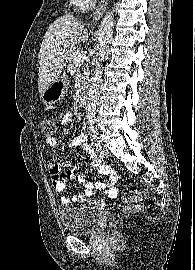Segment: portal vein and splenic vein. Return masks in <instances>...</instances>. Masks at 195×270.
<instances>
[{"instance_id": "obj_1", "label": "portal vein and splenic vein", "mask_w": 195, "mask_h": 270, "mask_svg": "<svg viewBox=\"0 0 195 270\" xmlns=\"http://www.w3.org/2000/svg\"><path fill=\"white\" fill-rule=\"evenodd\" d=\"M74 59L78 62L83 61L85 59V54L82 51H77L74 54Z\"/></svg>"}]
</instances>
